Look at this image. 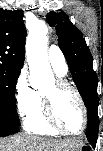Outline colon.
<instances>
[{
    "instance_id": "1",
    "label": "colon",
    "mask_w": 103,
    "mask_h": 151,
    "mask_svg": "<svg viewBox=\"0 0 103 151\" xmlns=\"http://www.w3.org/2000/svg\"><path fill=\"white\" fill-rule=\"evenodd\" d=\"M82 151H90L89 148L85 147Z\"/></svg>"
}]
</instances>
